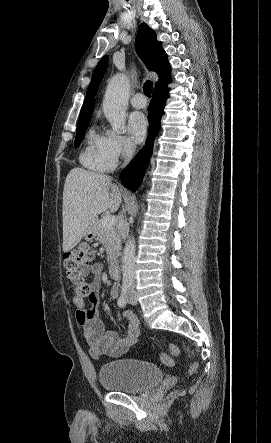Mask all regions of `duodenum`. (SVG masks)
<instances>
[{
  "instance_id": "410a0bca",
  "label": "duodenum",
  "mask_w": 271,
  "mask_h": 443,
  "mask_svg": "<svg viewBox=\"0 0 271 443\" xmlns=\"http://www.w3.org/2000/svg\"><path fill=\"white\" fill-rule=\"evenodd\" d=\"M109 273L113 278L120 277V266L117 260H112L109 264Z\"/></svg>"
}]
</instances>
